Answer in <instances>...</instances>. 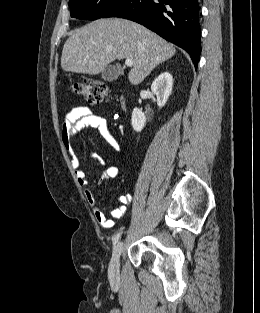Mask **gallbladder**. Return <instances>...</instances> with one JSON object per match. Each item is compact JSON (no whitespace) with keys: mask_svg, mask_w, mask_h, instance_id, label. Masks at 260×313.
<instances>
[{"mask_svg":"<svg viewBox=\"0 0 260 313\" xmlns=\"http://www.w3.org/2000/svg\"><path fill=\"white\" fill-rule=\"evenodd\" d=\"M120 72L115 66H108L104 71H102V79L107 82L115 81Z\"/></svg>","mask_w":260,"mask_h":313,"instance_id":"bac80fb5","label":"gallbladder"}]
</instances>
